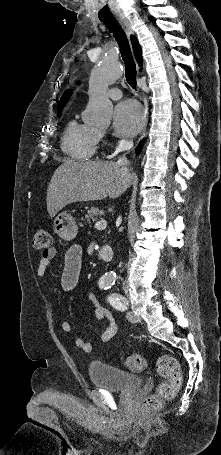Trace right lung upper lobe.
<instances>
[{
  "mask_svg": "<svg viewBox=\"0 0 221 455\" xmlns=\"http://www.w3.org/2000/svg\"><path fill=\"white\" fill-rule=\"evenodd\" d=\"M131 41H132V45H133V50H134V53H135V56H136V59L138 61V64L141 66L142 65V50H141V47L137 41V39L134 37V36H131ZM70 94L71 92L70 91H66L61 99H60V102H59V107L58 109H62L64 107V105L67 103V101L69 100V97H70Z\"/></svg>",
  "mask_w": 221,
  "mask_h": 455,
  "instance_id": "1",
  "label": "right lung upper lobe"
}]
</instances>
